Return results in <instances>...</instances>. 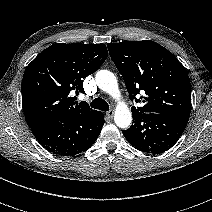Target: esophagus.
Wrapping results in <instances>:
<instances>
[{
	"mask_svg": "<svg viewBox=\"0 0 212 212\" xmlns=\"http://www.w3.org/2000/svg\"><path fill=\"white\" fill-rule=\"evenodd\" d=\"M106 115H107L108 118H112L113 115H114V111L110 110V111L106 112Z\"/></svg>",
	"mask_w": 212,
	"mask_h": 212,
	"instance_id": "obj_1",
	"label": "esophagus"
}]
</instances>
